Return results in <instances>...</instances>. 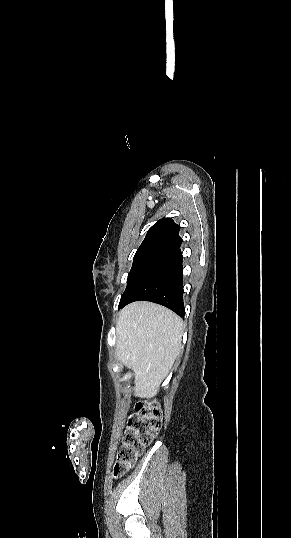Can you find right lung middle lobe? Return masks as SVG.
<instances>
[{"label":"right lung middle lobe","instance_id":"1","mask_svg":"<svg viewBox=\"0 0 291 538\" xmlns=\"http://www.w3.org/2000/svg\"><path fill=\"white\" fill-rule=\"evenodd\" d=\"M171 252L172 250L163 248H152L136 252L128 275L127 287L120 299L119 309L128 302L131 294L141 281Z\"/></svg>","mask_w":291,"mask_h":538}]
</instances>
